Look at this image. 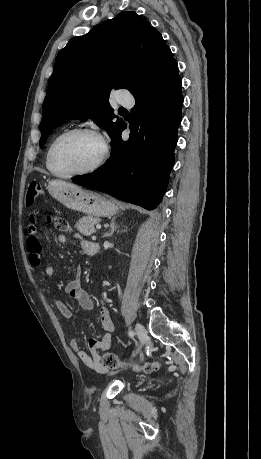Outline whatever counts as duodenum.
<instances>
[{
    "label": "duodenum",
    "instance_id": "410a0bca",
    "mask_svg": "<svg viewBox=\"0 0 261 459\" xmlns=\"http://www.w3.org/2000/svg\"><path fill=\"white\" fill-rule=\"evenodd\" d=\"M99 250H100L99 245L97 243H93V245H92V253L93 254H97L99 252Z\"/></svg>",
    "mask_w": 261,
    "mask_h": 459
}]
</instances>
